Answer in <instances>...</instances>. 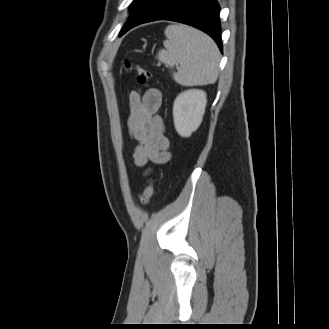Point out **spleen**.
<instances>
[{
  "label": "spleen",
  "instance_id": "obj_1",
  "mask_svg": "<svg viewBox=\"0 0 329 329\" xmlns=\"http://www.w3.org/2000/svg\"><path fill=\"white\" fill-rule=\"evenodd\" d=\"M165 36V49L157 57L170 68L176 66L173 79L178 84L196 86L216 82L219 50L208 35L186 25H169Z\"/></svg>",
  "mask_w": 329,
  "mask_h": 329
}]
</instances>
